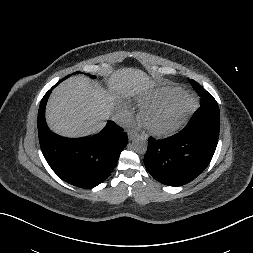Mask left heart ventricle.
Returning <instances> with one entry per match:
<instances>
[{"label":"left heart ventricle","instance_id":"left-heart-ventricle-1","mask_svg":"<svg viewBox=\"0 0 253 253\" xmlns=\"http://www.w3.org/2000/svg\"><path fill=\"white\" fill-rule=\"evenodd\" d=\"M180 106L165 108L152 113L148 117V124L157 129L169 127L176 119Z\"/></svg>","mask_w":253,"mask_h":253}]
</instances>
